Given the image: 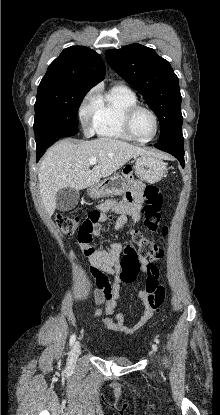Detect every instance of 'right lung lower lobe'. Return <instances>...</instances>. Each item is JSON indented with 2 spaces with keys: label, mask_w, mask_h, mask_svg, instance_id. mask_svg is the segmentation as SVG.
Masks as SVG:
<instances>
[{
  "label": "right lung lower lobe",
  "mask_w": 220,
  "mask_h": 415,
  "mask_svg": "<svg viewBox=\"0 0 220 415\" xmlns=\"http://www.w3.org/2000/svg\"><path fill=\"white\" fill-rule=\"evenodd\" d=\"M47 148L46 147H43V148H40V149H37V151H36V154H37V161L40 159V157L44 154V152H45V150H46Z\"/></svg>",
  "instance_id": "98d812e1"
}]
</instances>
